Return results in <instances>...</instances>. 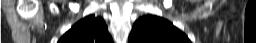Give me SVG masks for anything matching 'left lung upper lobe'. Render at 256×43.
Instances as JSON below:
<instances>
[{
	"mask_svg": "<svg viewBox=\"0 0 256 43\" xmlns=\"http://www.w3.org/2000/svg\"><path fill=\"white\" fill-rule=\"evenodd\" d=\"M128 43H191L169 21L155 15L139 18L133 25Z\"/></svg>",
	"mask_w": 256,
	"mask_h": 43,
	"instance_id": "left-lung-upper-lobe-1",
	"label": "left lung upper lobe"
}]
</instances>
